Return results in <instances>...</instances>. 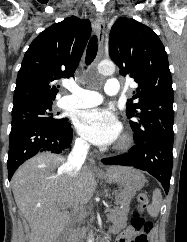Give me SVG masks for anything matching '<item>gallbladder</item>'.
Wrapping results in <instances>:
<instances>
[{"mask_svg": "<svg viewBox=\"0 0 187 242\" xmlns=\"http://www.w3.org/2000/svg\"><path fill=\"white\" fill-rule=\"evenodd\" d=\"M64 233H62L58 238H57V240H56V242H62L63 241V239H64Z\"/></svg>", "mask_w": 187, "mask_h": 242, "instance_id": "1", "label": "gallbladder"}]
</instances>
